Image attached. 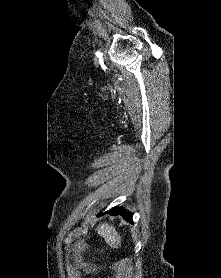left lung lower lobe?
<instances>
[{
  "label": "left lung lower lobe",
  "mask_w": 221,
  "mask_h": 278,
  "mask_svg": "<svg viewBox=\"0 0 221 278\" xmlns=\"http://www.w3.org/2000/svg\"><path fill=\"white\" fill-rule=\"evenodd\" d=\"M109 213L112 215H118V214L123 215L124 219L126 221L132 222V213H130L129 211H126L123 208L115 207V208L111 209Z\"/></svg>",
  "instance_id": "1"
}]
</instances>
